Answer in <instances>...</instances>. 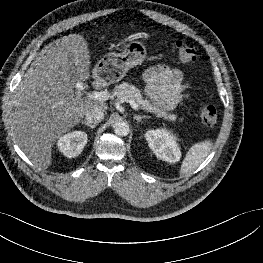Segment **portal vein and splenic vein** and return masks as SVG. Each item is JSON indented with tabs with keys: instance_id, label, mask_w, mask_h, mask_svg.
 <instances>
[{
	"instance_id": "obj_1",
	"label": "portal vein and splenic vein",
	"mask_w": 263,
	"mask_h": 263,
	"mask_svg": "<svg viewBox=\"0 0 263 263\" xmlns=\"http://www.w3.org/2000/svg\"><path fill=\"white\" fill-rule=\"evenodd\" d=\"M110 94L107 91H95L92 93L91 98L99 101H106L110 98ZM131 107L135 110L138 109V104L131 98L126 99Z\"/></svg>"
}]
</instances>
